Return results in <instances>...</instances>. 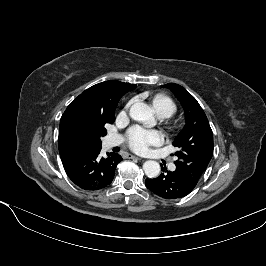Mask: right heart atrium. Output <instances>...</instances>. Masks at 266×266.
I'll return each instance as SVG.
<instances>
[{"label": "right heart atrium", "mask_w": 266, "mask_h": 266, "mask_svg": "<svg viewBox=\"0 0 266 266\" xmlns=\"http://www.w3.org/2000/svg\"><path fill=\"white\" fill-rule=\"evenodd\" d=\"M131 103H132V101H130V102L127 104V107H129Z\"/></svg>", "instance_id": "right-heart-atrium-1"}]
</instances>
